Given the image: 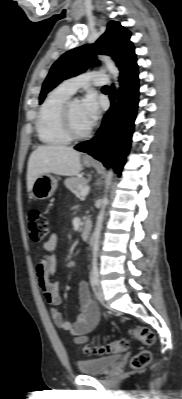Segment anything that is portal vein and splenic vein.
Listing matches in <instances>:
<instances>
[{
	"mask_svg": "<svg viewBox=\"0 0 182 399\" xmlns=\"http://www.w3.org/2000/svg\"><path fill=\"white\" fill-rule=\"evenodd\" d=\"M89 190H90V187L88 185L84 186L80 191V195L83 197L86 196L89 193Z\"/></svg>",
	"mask_w": 182,
	"mask_h": 399,
	"instance_id": "1",
	"label": "portal vein and splenic vein"
}]
</instances>
